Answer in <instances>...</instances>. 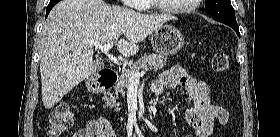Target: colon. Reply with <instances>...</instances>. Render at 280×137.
Wrapping results in <instances>:
<instances>
[{"instance_id":"obj_1","label":"colon","mask_w":280,"mask_h":137,"mask_svg":"<svg viewBox=\"0 0 280 137\" xmlns=\"http://www.w3.org/2000/svg\"><path fill=\"white\" fill-rule=\"evenodd\" d=\"M212 69L217 74H224L229 69V59L224 53H215L212 58ZM74 123L73 116L65 102H59L49 115L47 134L49 137H59ZM90 132L94 136L112 137L110 129L99 122L90 126Z\"/></svg>"}]
</instances>
